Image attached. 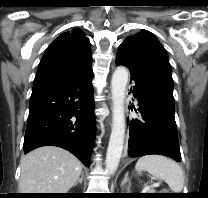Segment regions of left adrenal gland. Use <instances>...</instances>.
I'll return each instance as SVG.
<instances>
[{
  "label": "left adrenal gland",
  "instance_id": "obj_1",
  "mask_svg": "<svg viewBox=\"0 0 208 198\" xmlns=\"http://www.w3.org/2000/svg\"><path fill=\"white\" fill-rule=\"evenodd\" d=\"M128 172L125 174L123 181L121 182V187L123 188L126 184V190L127 193H130V188H131V180L128 177Z\"/></svg>",
  "mask_w": 208,
  "mask_h": 198
}]
</instances>
